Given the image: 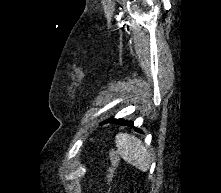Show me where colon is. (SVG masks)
I'll list each match as a JSON object with an SVG mask.
<instances>
[{
  "instance_id": "1",
  "label": "colon",
  "mask_w": 221,
  "mask_h": 193,
  "mask_svg": "<svg viewBox=\"0 0 221 193\" xmlns=\"http://www.w3.org/2000/svg\"><path fill=\"white\" fill-rule=\"evenodd\" d=\"M109 159H110V166L108 168L106 174V181L109 186L108 192L112 189V184L115 176L116 169L120 163L119 156L114 149H109L108 151Z\"/></svg>"
}]
</instances>
